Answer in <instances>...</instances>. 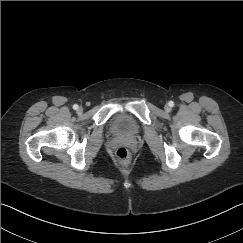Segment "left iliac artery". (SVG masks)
<instances>
[{"label":"left iliac artery","instance_id":"44dca946","mask_svg":"<svg viewBox=\"0 0 243 243\" xmlns=\"http://www.w3.org/2000/svg\"><path fill=\"white\" fill-rule=\"evenodd\" d=\"M169 106H170V107H173V106H174V102H173V101H170V102H169Z\"/></svg>","mask_w":243,"mask_h":243}]
</instances>
